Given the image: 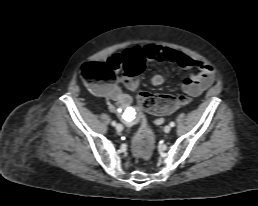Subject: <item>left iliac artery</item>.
<instances>
[{
  "label": "left iliac artery",
  "mask_w": 258,
  "mask_h": 206,
  "mask_svg": "<svg viewBox=\"0 0 258 206\" xmlns=\"http://www.w3.org/2000/svg\"><path fill=\"white\" fill-rule=\"evenodd\" d=\"M170 126H171V127H174V126H175V123H174V122H170Z\"/></svg>",
  "instance_id": "1"
}]
</instances>
